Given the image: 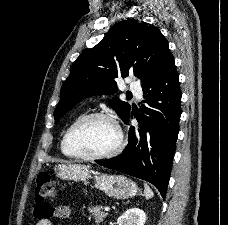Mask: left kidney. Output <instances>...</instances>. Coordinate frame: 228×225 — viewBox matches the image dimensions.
<instances>
[{"instance_id":"obj_1","label":"left kidney","mask_w":228,"mask_h":225,"mask_svg":"<svg viewBox=\"0 0 228 225\" xmlns=\"http://www.w3.org/2000/svg\"><path fill=\"white\" fill-rule=\"evenodd\" d=\"M146 221V215L141 209L137 207H132L125 211L121 217H119L117 223L118 225H144Z\"/></svg>"}]
</instances>
